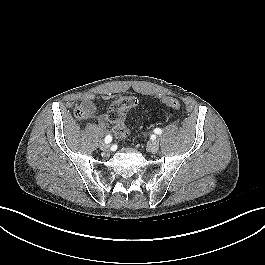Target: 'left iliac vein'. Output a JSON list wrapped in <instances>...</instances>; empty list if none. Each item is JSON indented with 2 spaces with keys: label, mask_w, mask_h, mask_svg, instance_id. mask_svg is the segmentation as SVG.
<instances>
[{
  "label": "left iliac vein",
  "mask_w": 265,
  "mask_h": 265,
  "mask_svg": "<svg viewBox=\"0 0 265 265\" xmlns=\"http://www.w3.org/2000/svg\"><path fill=\"white\" fill-rule=\"evenodd\" d=\"M159 142L158 141H152L149 145H148V150L152 153H156L159 150Z\"/></svg>",
  "instance_id": "1"
}]
</instances>
